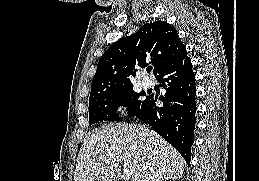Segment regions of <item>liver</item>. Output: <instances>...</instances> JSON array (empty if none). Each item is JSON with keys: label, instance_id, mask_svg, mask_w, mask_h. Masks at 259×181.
I'll return each mask as SVG.
<instances>
[{"label": "liver", "instance_id": "6515ba94", "mask_svg": "<svg viewBox=\"0 0 259 181\" xmlns=\"http://www.w3.org/2000/svg\"><path fill=\"white\" fill-rule=\"evenodd\" d=\"M122 163L132 169L131 181L179 179L185 161L153 130L117 124L95 130L83 143L74 181H118Z\"/></svg>", "mask_w": 259, "mask_h": 181}]
</instances>
